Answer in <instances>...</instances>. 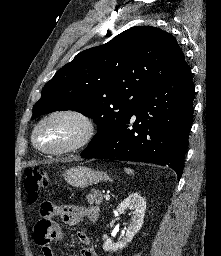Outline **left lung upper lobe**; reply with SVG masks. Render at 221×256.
<instances>
[{"label": "left lung upper lobe", "mask_w": 221, "mask_h": 256, "mask_svg": "<svg viewBox=\"0 0 221 256\" xmlns=\"http://www.w3.org/2000/svg\"><path fill=\"white\" fill-rule=\"evenodd\" d=\"M185 64L171 34L151 26L132 27L104 45L80 52L58 70L43 87L32 118L57 110L80 112L98 125L91 145Z\"/></svg>", "instance_id": "obj_1"}]
</instances>
